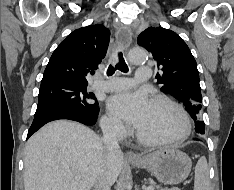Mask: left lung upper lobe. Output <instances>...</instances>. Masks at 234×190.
<instances>
[{
  "label": "left lung upper lobe",
  "mask_w": 234,
  "mask_h": 190,
  "mask_svg": "<svg viewBox=\"0 0 234 190\" xmlns=\"http://www.w3.org/2000/svg\"><path fill=\"white\" fill-rule=\"evenodd\" d=\"M140 46L153 54L161 91L169 93L180 101L195 122L197 133H204L201 120V87L197 64L182 38L162 27H149L137 39Z\"/></svg>",
  "instance_id": "1"
}]
</instances>
